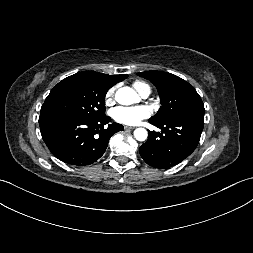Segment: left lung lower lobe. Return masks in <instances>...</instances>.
<instances>
[{
	"label": "left lung lower lobe",
	"instance_id": "left-lung-lower-lobe-1",
	"mask_svg": "<svg viewBox=\"0 0 253 253\" xmlns=\"http://www.w3.org/2000/svg\"><path fill=\"white\" fill-rule=\"evenodd\" d=\"M204 113L194 110L174 120L149 122L161 133L149 132V139L140 147L144 161L154 168L165 169L177 165L197 147L204 126Z\"/></svg>",
	"mask_w": 253,
	"mask_h": 253
}]
</instances>
